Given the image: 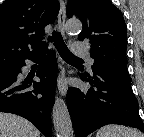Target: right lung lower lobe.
<instances>
[{"instance_id":"right-lung-lower-lobe-1","label":"right lung lower lobe","mask_w":144,"mask_h":137,"mask_svg":"<svg viewBox=\"0 0 144 137\" xmlns=\"http://www.w3.org/2000/svg\"><path fill=\"white\" fill-rule=\"evenodd\" d=\"M44 52L48 50H40L25 58L39 63L36 76L40 82L33 81V76L25 77L22 74L25 59L11 71L0 73V112L20 115L32 122L46 137H51V108L55 100L57 60L54 51L41 58Z\"/></svg>"}]
</instances>
